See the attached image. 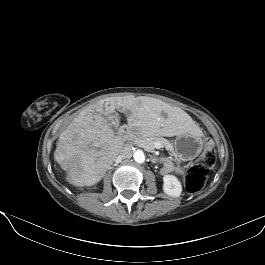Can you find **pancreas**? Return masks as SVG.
Listing matches in <instances>:
<instances>
[{
  "mask_svg": "<svg viewBox=\"0 0 265 265\" xmlns=\"http://www.w3.org/2000/svg\"><path fill=\"white\" fill-rule=\"evenodd\" d=\"M140 147L144 148L148 152L154 151V143L159 142L169 152L171 156H175V149L173 144L162 137H150V138H133L132 139Z\"/></svg>",
  "mask_w": 265,
  "mask_h": 265,
  "instance_id": "pancreas-1",
  "label": "pancreas"
}]
</instances>
